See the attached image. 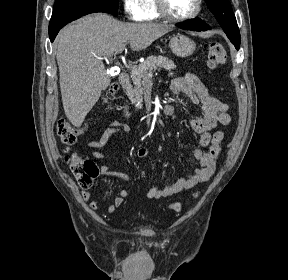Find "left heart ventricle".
I'll use <instances>...</instances> for the list:
<instances>
[{"label": "left heart ventricle", "instance_id": "left-heart-ventricle-1", "mask_svg": "<svg viewBox=\"0 0 288 280\" xmlns=\"http://www.w3.org/2000/svg\"><path fill=\"white\" fill-rule=\"evenodd\" d=\"M169 12L174 16H186L194 11L196 0H166Z\"/></svg>", "mask_w": 288, "mask_h": 280}]
</instances>
